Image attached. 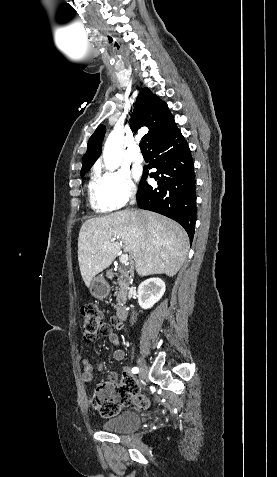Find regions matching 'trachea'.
Instances as JSON below:
<instances>
[{"instance_id": "3493384b", "label": "trachea", "mask_w": 277, "mask_h": 477, "mask_svg": "<svg viewBox=\"0 0 277 477\" xmlns=\"http://www.w3.org/2000/svg\"><path fill=\"white\" fill-rule=\"evenodd\" d=\"M142 153H148L147 144L145 140H142L139 144Z\"/></svg>"}]
</instances>
